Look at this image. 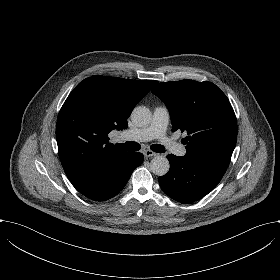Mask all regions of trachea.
Returning a JSON list of instances; mask_svg holds the SVG:
<instances>
[{
  "instance_id": "3493384b",
  "label": "trachea",
  "mask_w": 280,
  "mask_h": 280,
  "mask_svg": "<svg viewBox=\"0 0 280 280\" xmlns=\"http://www.w3.org/2000/svg\"><path fill=\"white\" fill-rule=\"evenodd\" d=\"M117 147L125 151H138L140 149V145L133 141H128L126 143H118ZM150 148L157 153L165 152V147L163 145L153 144Z\"/></svg>"
}]
</instances>
